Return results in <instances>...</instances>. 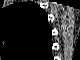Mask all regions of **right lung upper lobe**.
Instances as JSON below:
<instances>
[{
	"label": "right lung upper lobe",
	"instance_id": "cb5924a9",
	"mask_svg": "<svg viewBox=\"0 0 80 60\" xmlns=\"http://www.w3.org/2000/svg\"><path fill=\"white\" fill-rule=\"evenodd\" d=\"M0 40L17 54L42 52L50 44L47 15L35 3L14 4L2 13Z\"/></svg>",
	"mask_w": 80,
	"mask_h": 60
}]
</instances>
